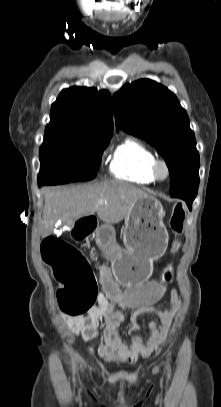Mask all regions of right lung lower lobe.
Returning <instances> with one entry per match:
<instances>
[{"label":"right lung lower lobe","instance_id":"obj_1","mask_svg":"<svg viewBox=\"0 0 221 407\" xmlns=\"http://www.w3.org/2000/svg\"><path fill=\"white\" fill-rule=\"evenodd\" d=\"M38 186H39V187H41V186H42V184L38 183Z\"/></svg>","mask_w":221,"mask_h":407}]
</instances>
